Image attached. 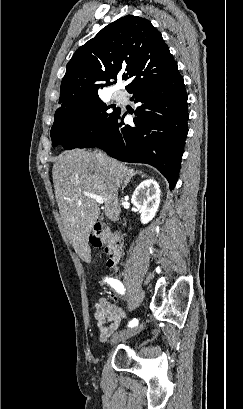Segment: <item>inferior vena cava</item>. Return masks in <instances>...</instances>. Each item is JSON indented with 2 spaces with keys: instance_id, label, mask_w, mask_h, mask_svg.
I'll list each match as a JSON object with an SVG mask.
<instances>
[{
  "instance_id": "inferior-vena-cava-1",
  "label": "inferior vena cava",
  "mask_w": 243,
  "mask_h": 409,
  "mask_svg": "<svg viewBox=\"0 0 243 409\" xmlns=\"http://www.w3.org/2000/svg\"><path fill=\"white\" fill-rule=\"evenodd\" d=\"M97 158H98V160H99L100 162H104L105 159H106V155L103 154V153H101V152H98V153H97Z\"/></svg>"
}]
</instances>
